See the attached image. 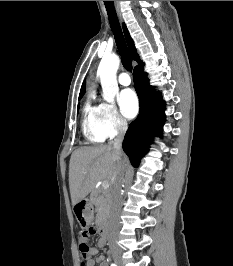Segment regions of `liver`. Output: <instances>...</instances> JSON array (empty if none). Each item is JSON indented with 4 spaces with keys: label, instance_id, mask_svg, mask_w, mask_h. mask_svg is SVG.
Listing matches in <instances>:
<instances>
[{
    "label": "liver",
    "instance_id": "1",
    "mask_svg": "<svg viewBox=\"0 0 233 266\" xmlns=\"http://www.w3.org/2000/svg\"><path fill=\"white\" fill-rule=\"evenodd\" d=\"M128 166V158L111 145L81 147L69 164V188L72 205L82 201L100 180L115 178Z\"/></svg>",
    "mask_w": 233,
    "mask_h": 266
}]
</instances>
